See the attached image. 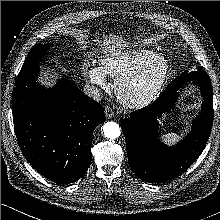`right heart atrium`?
I'll return each mask as SVG.
<instances>
[{
  "label": "right heart atrium",
  "instance_id": "d8ad5b80",
  "mask_svg": "<svg viewBox=\"0 0 220 220\" xmlns=\"http://www.w3.org/2000/svg\"><path fill=\"white\" fill-rule=\"evenodd\" d=\"M83 72L86 78L93 84L100 87L106 86V75L100 67L87 63L83 66Z\"/></svg>",
  "mask_w": 220,
  "mask_h": 220
}]
</instances>
